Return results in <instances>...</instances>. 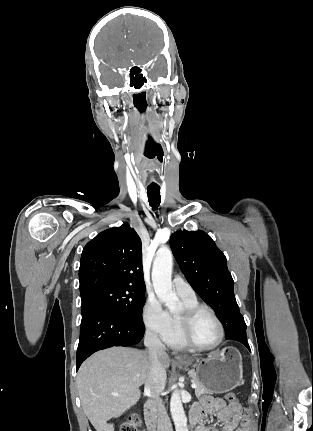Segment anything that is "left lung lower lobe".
Wrapping results in <instances>:
<instances>
[{
	"label": "left lung lower lobe",
	"mask_w": 313,
	"mask_h": 431,
	"mask_svg": "<svg viewBox=\"0 0 313 431\" xmlns=\"http://www.w3.org/2000/svg\"><path fill=\"white\" fill-rule=\"evenodd\" d=\"M230 340H236L238 342H241L250 350V347H249V344L247 343L246 337H233Z\"/></svg>",
	"instance_id": "left-lung-lower-lobe-1"
}]
</instances>
